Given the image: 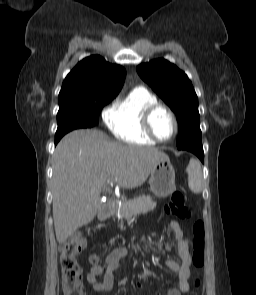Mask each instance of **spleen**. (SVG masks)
<instances>
[{
	"label": "spleen",
	"instance_id": "obj_1",
	"mask_svg": "<svg viewBox=\"0 0 256 295\" xmlns=\"http://www.w3.org/2000/svg\"><path fill=\"white\" fill-rule=\"evenodd\" d=\"M187 173L189 188L196 194L200 193L203 188V178L199 162L191 160L187 167Z\"/></svg>",
	"mask_w": 256,
	"mask_h": 295
}]
</instances>
